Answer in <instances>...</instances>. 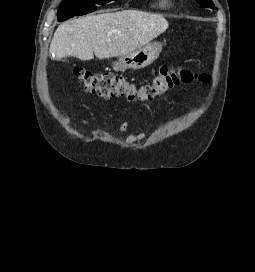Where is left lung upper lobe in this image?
<instances>
[{
    "mask_svg": "<svg viewBox=\"0 0 255 272\" xmlns=\"http://www.w3.org/2000/svg\"><path fill=\"white\" fill-rule=\"evenodd\" d=\"M202 7L214 8V3L211 0H196Z\"/></svg>",
    "mask_w": 255,
    "mask_h": 272,
    "instance_id": "left-lung-upper-lobe-1",
    "label": "left lung upper lobe"
}]
</instances>
